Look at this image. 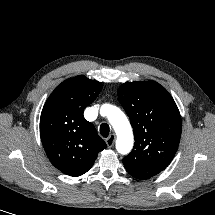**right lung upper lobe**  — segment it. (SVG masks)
<instances>
[{
	"label": "right lung upper lobe",
	"instance_id": "cb5924a9",
	"mask_svg": "<svg viewBox=\"0 0 215 215\" xmlns=\"http://www.w3.org/2000/svg\"><path fill=\"white\" fill-rule=\"evenodd\" d=\"M102 89V83L85 76L62 82L48 97L40 118V135L51 163L69 176L91 169L97 154L107 147L84 116Z\"/></svg>",
	"mask_w": 215,
	"mask_h": 215
}]
</instances>
